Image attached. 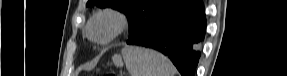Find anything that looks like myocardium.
Returning <instances> with one entry per match:
<instances>
[{
    "label": "myocardium",
    "instance_id": "f54148a6",
    "mask_svg": "<svg viewBox=\"0 0 287 76\" xmlns=\"http://www.w3.org/2000/svg\"><path fill=\"white\" fill-rule=\"evenodd\" d=\"M102 21H108L111 24L110 31L103 35L97 36L93 33V27ZM128 26L127 16L115 9H105L93 15L89 20L86 33L89 39L100 45H106L116 39Z\"/></svg>",
    "mask_w": 287,
    "mask_h": 76
}]
</instances>
